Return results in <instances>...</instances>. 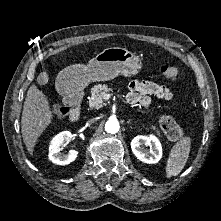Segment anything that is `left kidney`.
<instances>
[{
    "label": "left kidney",
    "instance_id": "obj_1",
    "mask_svg": "<svg viewBox=\"0 0 221 221\" xmlns=\"http://www.w3.org/2000/svg\"><path fill=\"white\" fill-rule=\"evenodd\" d=\"M144 146L149 147V149L144 148ZM131 149L137 159L147 164L158 163L162 157L161 143L153 134L134 137L131 141Z\"/></svg>",
    "mask_w": 221,
    "mask_h": 221
}]
</instances>
